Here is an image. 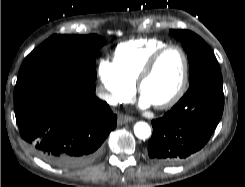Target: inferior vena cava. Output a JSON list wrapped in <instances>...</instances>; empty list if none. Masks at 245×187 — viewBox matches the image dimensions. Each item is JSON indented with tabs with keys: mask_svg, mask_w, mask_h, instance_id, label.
<instances>
[{
	"mask_svg": "<svg viewBox=\"0 0 245 187\" xmlns=\"http://www.w3.org/2000/svg\"><path fill=\"white\" fill-rule=\"evenodd\" d=\"M97 95L101 98H104L105 100H107L110 104H116L117 101L109 96H107V94L105 93V90L103 87H98L97 88Z\"/></svg>",
	"mask_w": 245,
	"mask_h": 187,
	"instance_id": "1",
	"label": "inferior vena cava"
}]
</instances>
